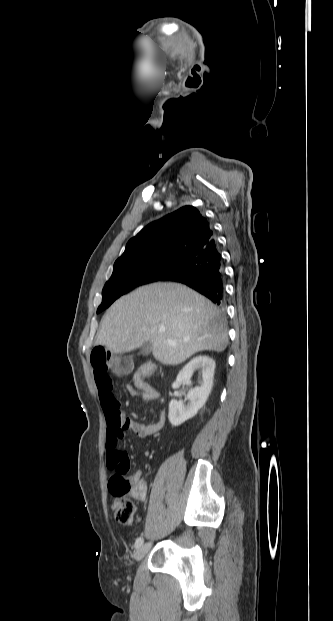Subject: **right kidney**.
<instances>
[{
  "label": "right kidney",
  "mask_w": 333,
  "mask_h": 621,
  "mask_svg": "<svg viewBox=\"0 0 333 621\" xmlns=\"http://www.w3.org/2000/svg\"><path fill=\"white\" fill-rule=\"evenodd\" d=\"M215 361L208 356H197L188 362L179 372L172 387L178 388L183 381L189 382L194 371H199L201 380L199 386L192 388L187 395L189 403L183 400H171L169 403L168 418L173 426H179L186 420L194 417L205 405L213 385Z\"/></svg>",
  "instance_id": "ca27d5eb"
}]
</instances>
